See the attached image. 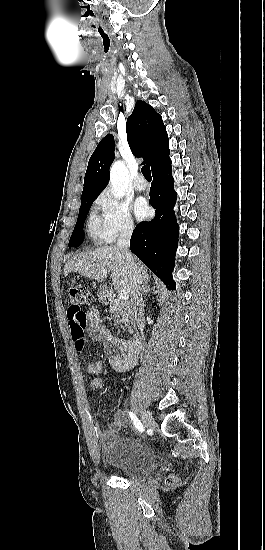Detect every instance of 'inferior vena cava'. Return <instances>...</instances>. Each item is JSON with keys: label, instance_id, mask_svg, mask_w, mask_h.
Segmentation results:
<instances>
[{"label": "inferior vena cava", "instance_id": "602c4592", "mask_svg": "<svg viewBox=\"0 0 265 550\" xmlns=\"http://www.w3.org/2000/svg\"><path fill=\"white\" fill-rule=\"evenodd\" d=\"M133 232V224H127L120 233L117 241V247L121 251L128 267L131 276V295L132 304L135 314V320L139 328L144 327V317L142 310V302L140 300V281L137 273V269L134 263V258L129 251V243Z\"/></svg>", "mask_w": 265, "mask_h": 550}]
</instances>
